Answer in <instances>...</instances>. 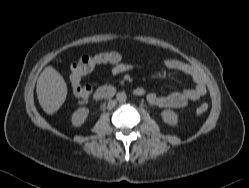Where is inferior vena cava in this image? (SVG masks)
Wrapping results in <instances>:
<instances>
[{"label":"inferior vena cava","instance_id":"obj_1","mask_svg":"<svg viewBox=\"0 0 249 188\" xmlns=\"http://www.w3.org/2000/svg\"><path fill=\"white\" fill-rule=\"evenodd\" d=\"M117 102L116 100H109L107 108L109 110H112L116 106Z\"/></svg>","mask_w":249,"mask_h":188}]
</instances>
